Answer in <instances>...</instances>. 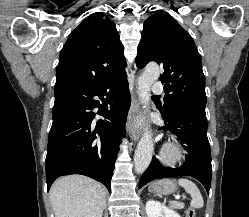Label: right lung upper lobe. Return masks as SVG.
Masks as SVG:
<instances>
[{"label":"right lung upper lobe","mask_w":249,"mask_h":217,"mask_svg":"<svg viewBox=\"0 0 249 217\" xmlns=\"http://www.w3.org/2000/svg\"><path fill=\"white\" fill-rule=\"evenodd\" d=\"M123 50L114 22L103 13L88 17L61 50L55 87L96 86L125 75Z\"/></svg>","instance_id":"cb5924a9"}]
</instances>
